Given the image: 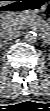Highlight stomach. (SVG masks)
<instances>
[{"mask_svg": "<svg viewBox=\"0 0 50 111\" xmlns=\"http://www.w3.org/2000/svg\"><path fill=\"white\" fill-rule=\"evenodd\" d=\"M23 3L24 4L22 5V9L24 12L39 13L46 9L48 0H23Z\"/></svg>", "mask_w": 50, "mask_h": 111, "instance_id": "1", "label": "stomach"}]
</instances>
